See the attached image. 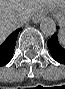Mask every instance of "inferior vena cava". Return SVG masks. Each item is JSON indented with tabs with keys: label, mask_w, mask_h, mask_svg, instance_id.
I'll use <instances>...</instances> for the list:
<instances>
[{
	"label": "inferior vena cava",
	"mask_w": 65,
	"mask_h": 89,
	"mask_svg": "<svg viewBox=\"0 0 65 89\" xmlns=\"http://www.w3.org/2000/svg\"><path fill=\"white\" fill-rule=\"evenodd\" d=\"M28 21V18H21V19H19L18 21H17V23H16V26L19 28V27H21L22 25H24L26 22Z\"/></svg>",
	"instance_id": "1"
}]
</instances>
